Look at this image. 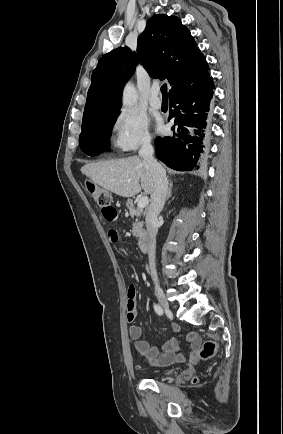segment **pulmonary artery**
Segmentation results:
<instances>
[{"label":"pulmonary artery","mask_w":283,"mask_h":434,"mask_svg":"<svg viewBox=\"0 0 283 434\" xmlns=\"http://www.w3.org/2000/svg\"><path fill=\"white\" fill-rule=\"evenodd\" d=\"M160 94V88L158 84H154L150 90V98H149V104L154 109H160L162 106V101L159 97Z\"/></svg>","instance_id":"pulmonary-artery-1"}]
</instances>
